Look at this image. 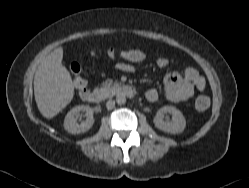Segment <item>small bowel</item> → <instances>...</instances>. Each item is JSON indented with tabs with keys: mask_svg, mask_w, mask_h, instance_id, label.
<instances>
[{
	"mask_svg": "<svg viewBox=\"0 0 249 188\" xmlns=\"http://www.w3.org/2000/svg\"><path fill=\"white\" fill-rule=\"evenodd\" d=\"M133 51V50H128ZM145 55L140 59L131 57L123 58L132 63H137L144 60ZM157 66L164 69L169 66L170 61L166 57L157 59ZM117 68L123 72L131 73L134 71L133 65L129 63H119ZM164 89L166 98L171 102H184L190 100L196 91L205 89V81L198 71L192 67H187L182 73L174 71L168 74L164 80ZM146 98L152 103L159 100V93L155 88H150L146 91Z\"/></svg>",
	"mask_w": 249,
	"mask_h": 188,
	"instance_id": "c3829d8e",
	"label": "small bowel"
}]
</instances>
